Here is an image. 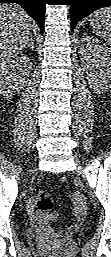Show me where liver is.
I'll return each mask as SVG.
<instances>
[{
    "label": "liver",
    "instance_id": "liver-1",
    "mask_svg": "<svg viewBox=\"0 0 111 257\" xmlns=\"http://www.w3.org/2000/svg\"><path fill=\"white\" fill-rule=\"evenodd\" d=\"M32 20L18 5H0V65L4 67L28 44L31 37Z\"/></svg>",
    "mask_w": 111,
    "mask_h": 257
}]
</instances>
